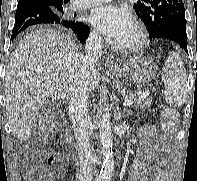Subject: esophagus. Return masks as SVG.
<instances>
[{"label":"esophagus","instance_id":"esophagus-1","mask_svg":"<svg viewBox=\"0 0 197 181\" xmlns=\"http://www.w3.org/2000/svg\"><path fill=\"white\" fill-rule=\"evenodd\" d=\"M106 64L109 68H116V62L114 60L113 56H108L107 60H106Z\"/></svg>","mask_w":197,"mask_h":181}]
</instances>
